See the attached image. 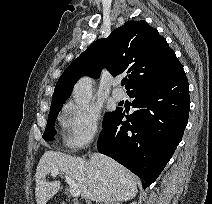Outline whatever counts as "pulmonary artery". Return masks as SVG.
Returning a JSON list of instances; mask_svg holds the SVG:
<instances>
[{"instance_id": "pulmonary-artery-1", "label": "pulmonary artery", "mask_w": 212, "mask_h": 204, "mask_svg": "<svg viewBox=\"0 0 212 204\" xmlns=\"http://www.w3.org/2000/svg\"><path fill=\"white\" fill-rule=\"evenodd\" d=\"M119 81H115L114 89L112 90V97L116 101H122L125 98V93L122 89L119 88Z\"/></svg>"}]
</instances>
